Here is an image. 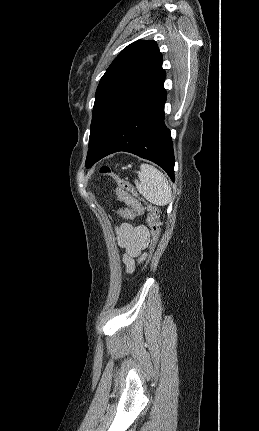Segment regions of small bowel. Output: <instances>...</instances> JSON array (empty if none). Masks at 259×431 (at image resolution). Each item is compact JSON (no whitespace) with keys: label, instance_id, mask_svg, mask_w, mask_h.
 Here are the masks:
<instances>
[{"label":"small bowel","instance_id":"1","mask_svg":"<svg viewBox=\"0 0 259 431\" xmlns=\"http://www.w3.org/2000/svg\"><path fill=\"white\" fill-rule=\"evenodd\" d=\"M149 240V231L145 226H134L125 222L117 228L118 244L125 249L123 262L128 275L133 273L137 264L144 260V250L147 248Z\"/></svg>","mask_w":259,"mask_h":431}]
</instances>
